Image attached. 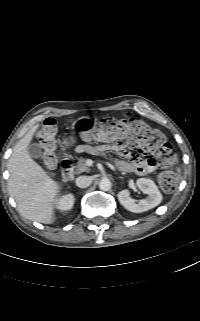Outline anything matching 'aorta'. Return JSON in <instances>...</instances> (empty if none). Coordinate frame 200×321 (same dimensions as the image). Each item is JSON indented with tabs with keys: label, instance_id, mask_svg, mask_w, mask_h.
I'll list each match as a JSON object with an SVG mask.
<instances>
[{
	"label": "aorta",
	"instance_id": "aorta-1",
	"mask_svg": "<svg viewBox=\"0 0 200 321\" xmlns=\"http://www.w3.org/2000/svg\"><path fill=\"white\" fill-rule=\"evenodd\" d=\"M111 186H112L111 181L108 178H102L99 182V188L102 191L110 190Z\"/></svg>",
	"mask_w": 200,
	"mask_h": 321
}]
</instances>
